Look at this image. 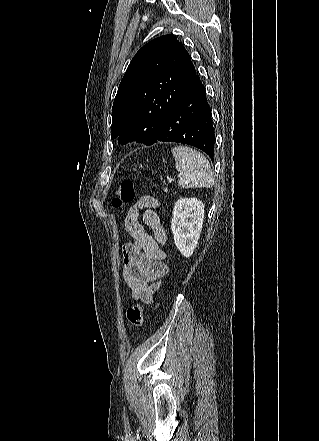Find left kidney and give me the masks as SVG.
<instances>
[{
	"mask_svg": "<svg viewBox=\"0 0 319 441\" xmlns=\"http://www.w3.org/2000/svg\"><path fill=\"white\" fill-rule=\"evenodd\" d=\"M204 220V204L196 198H180L174 206L171 229L174 243L185 257L192 256Z\"/></svg>",
	"mask_w": 319,
	"mask_h": 441,
	"instance_id": "1",
	"label": "left kidney"
}]
</instances>
